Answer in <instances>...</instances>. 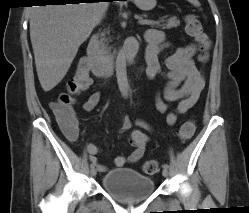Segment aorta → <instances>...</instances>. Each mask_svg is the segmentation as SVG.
<instances>
[{
  "mask_svg": "<svg viewBox=\"0 0 249 213\" xmlns=\"http://www.w3.org/2000/svg\"><path fill=\"white\" fill-rule=\"evenodd\" d=\"M116 77L120 92L123 96L129 94V84L127 79L126 59L123 51L118 53L116 58Z\"/></svg>",
  "mask_w": 249,
  "mask_h": 213,
  "instance_id": "1",
  "label": "aorta"
}]
</instances>
